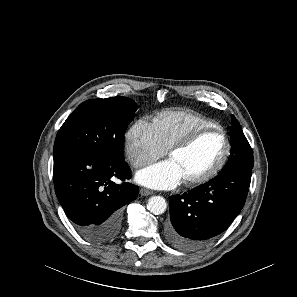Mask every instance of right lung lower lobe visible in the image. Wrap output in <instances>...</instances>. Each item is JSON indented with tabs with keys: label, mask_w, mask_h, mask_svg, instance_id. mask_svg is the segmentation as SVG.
<instances>
[{
	"label": "right lung lower lobe",
	"mask_w": 297,
	"mask_h": 297,
	"mask_svg": "<svg viewBox=\"0 0 297 297\" xmlns=\"http://www.w3.org/2000/svg\"><path fill=\"white\" fill-rule=\"evenodd\" d=\"M56 196L76 230L86 239L106 242L121 227L122 207L138 195V187L112 178L130 179L124 161H114L89 151L54 153Z\"/></svg>",
	"instance_id": "right-lung-lower-lobe-1"
}]
</instances>
